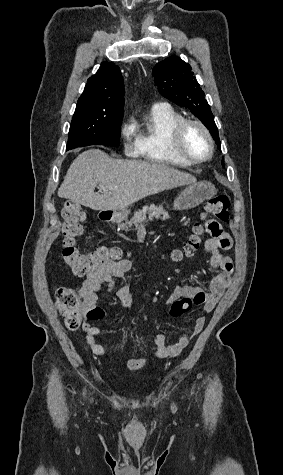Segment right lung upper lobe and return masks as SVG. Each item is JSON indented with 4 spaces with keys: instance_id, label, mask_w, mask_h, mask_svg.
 Listing matches in <instances>:
<instances>
[{
    "instance_id": "cb5924a9",
    "label": "right lung upper lobe",
    "mask_w": 283,
    "mask_h": 475,
    "mask_svg": "<svg viewBox=\"0 0 283 475\" xmlns=\"http://www.w3.org/2000/svg\"><path fill=\"white\" fill-rule=\"evenodd\" d=\"M123 78L113 62H103L95 75L87 80L79 104L120 106L124 103Z\"/></svg>"
}]
</instances>
